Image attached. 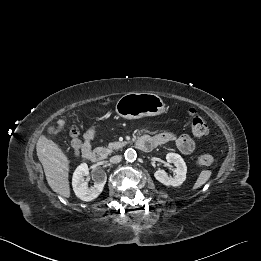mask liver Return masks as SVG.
<instances>
[{
    "instance_id": "6515ba94",
    "label": "liver",
    "mask_w": 261,
    "mask_h": 261,
    "mask_svg": "<svg viewBox=\"0 0 261 261\" xmlns=\"http://www.w3.org/2000/svg\"><path fill=\"white\" fill-rule=\"evenodd\" d=\"M37 156L41 162L47 182L57 194L69 198V159L52 140L41 136L37 141Z\"/></svg>"
}]
</instances>
